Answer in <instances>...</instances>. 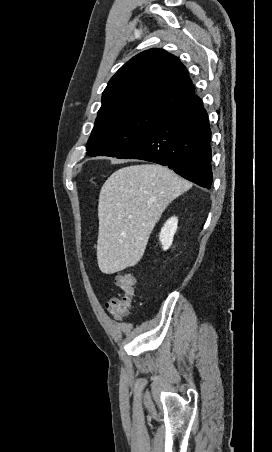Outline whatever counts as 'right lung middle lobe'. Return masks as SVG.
<instances>
[{
  "mask_svg": "<svg viewBox=\"0 0 272 452\" xmlns=\"http://www.w3.org/2000/svg\"><path fill=\"white\" fill-rule=\"evenodd\" d=\"M161 115L132 110L96 119L86 150L89 156L117 157L135 143Z\"/></svg>",
  "mask_w": 272,
  "mask_h": 452,
  "instance_id": "obj_1",
  "label": "right lung middle lobe"
}]
</instances>
